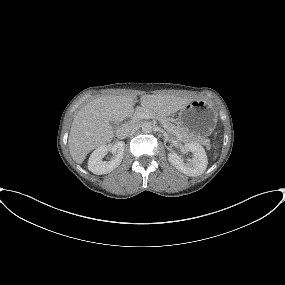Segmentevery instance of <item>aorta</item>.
<instances>
[{"instance_id":"762f6f07","label":"aorta","mask_w":285,"mask_h":285,"mask_svg":"<svg viewBox=\"0 0 285 285\" xmlns=\"http://www.w3.org/2000/svg\"><path fill=\"white\" fill-rule=\"evenodd\" d=\"M141 130L144 133H151L153 130V126L150 122H145L141 125Z\"/></svg>"}]
</instances>
